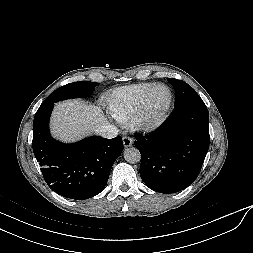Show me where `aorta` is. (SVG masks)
<instances>
[{
  "mask_svg": "<svg viewBox=\"0 0 253 253\" xmlns=\"http://www.w3.org/2000/svg\"><path fill=\"white\" fill-rule=\"evenodd\" d=\"M124 159L131 164L138 163L141 160V153L135 147L127 148L124 151Z\"/></svg>",
  "mask_w": 253,
  "mask_h": 253,
  "instance_id": "obj_1",
  "label": "aorta"
}]
</instances>
